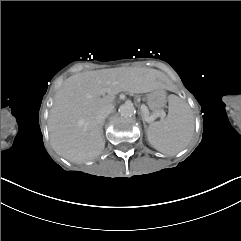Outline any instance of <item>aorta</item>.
<instances>
[{"label":"aorta","mask_w":241,"mask_h":241,"mask_svg":"<svg viewBox=\"0 0 241 241\" xmlns=\"http://www.w3.org/2000/svg\"><path fill=\"white\" fill-rule=\"evenodd\" d=\"M119 112L123 117H130L135 114V107L132 103H124L120 106Z\"/></svg>","instance_id":"1"}]
</instances>
